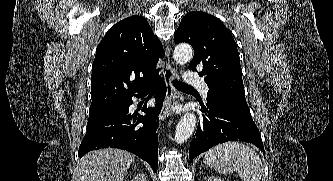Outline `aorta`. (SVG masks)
I'll return each instance as SVG.
<instances>
[{
    "label": "aorta",
    "mask_w": 333,
    "mask_h": 181,
    "mask_svg": "<svg viewBox=\"0 0 333 181\" xmlns=\"http://www.w3.org/2000/svg\"><path fill=\"white\" fill-rule=\"evenodd\" d=\"M193 57V49L188 44H180L176 46L173 52L174 60L184 65L188 63ZM196 126V116L193 113H185L176 126L175 141L178 144L184 143L190 138Z\"/></svg>",
    "instance_id": "obj_1"
}]
</instances>
